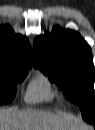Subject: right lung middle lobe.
I'll list each match as a JSON object with an SVG mask.
<instances>
[{"label": "right lung middle lobe", "instance_id": "right-lung-middle-lobe-1", "mask_svg": "<svg viewBox=\"0 0 95 130\" xmlns=\"http://www.w3.org/2000/svg\"><path fill=\"white\" fill-rule=\"evenodd\" d=\"M28 69H0V104L10 103L17 92V83L24 80Z\"/></svg>", "mask_w": 95, "mask_h": 130}]
</instances>
